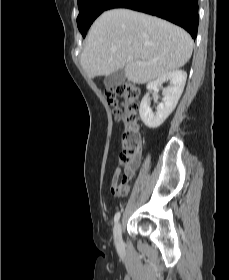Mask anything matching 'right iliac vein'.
Instances as JSON below:
<instances>
[{"label": "right iliac vein", "mask_w": 229, "mask_h": 280, "mask_svg": "<svg viewBox=\"0 0 229 280\" xmlns=\"http://www.w3.org/2000/svg\"><path fill=\"white\" fill-rule=\"evenodd\" d=\"M121 232H122V227H121V223L119 222L116 224L114 228V241L116 245H120L122 242Z\"/></svg>", "instance_id": "63e3f726"}]
</instances>
